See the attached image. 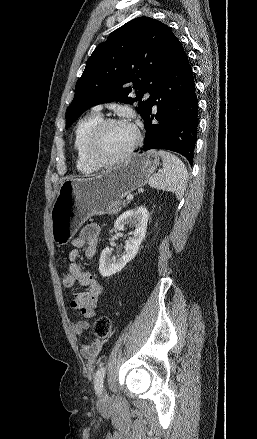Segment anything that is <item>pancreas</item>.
<instances>
[{"instance_id": "cf45deb5", "label": "pancreas", "mask_w": 257, "mask_h": 439, "mask_svg": "<svg viewBox=\"0 0 257 439\" xmlns=\"http://www.w3.org/2000/svg\"><path fill=\"white\" fill-rule=\"evenodd\" d=\"M126 205H127L126 201L117 202L113 204V206L110 208L109 213L111 215H115Z\"/></svg>"}]
</instances>
